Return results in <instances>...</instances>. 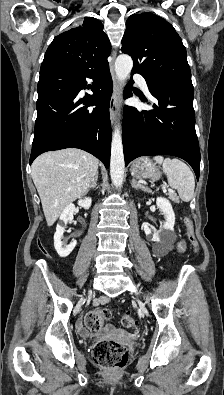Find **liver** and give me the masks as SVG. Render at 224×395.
Returning a JSON list of instances; mask_svg holds the SVG:
<instances>
[{
  "mask_svg": "<svg viewBox=\"0 0 224 395\" xmlns=\"http://www.w3.org/2000/svg\"><path fill=\"white\" fill-rule=\"evenodd\" d=\"M98 165L96 157L76 148L47 152L34 160L32 178L48 226L69 204L88 192Z\"/></svg>",
  "mask_w": 224,
  "mask_h": 395,
  "instance_id": "1",
  "label": "liver"
}]
</instances>
